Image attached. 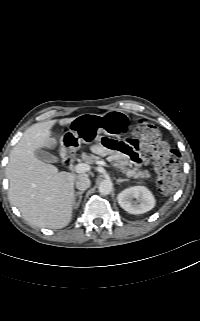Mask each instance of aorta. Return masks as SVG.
I'll return each instance as SVG.
<instances>
[{
	"label": "aorta",
	"mask_w": 200,
	"mask_h": 321,
	"mask_svg": "<svg viewBox=\"0 0 200 321\" xmlns=\"http://www.w3.org/2000/svg\"><path fill=\"white\" fill-rule=\"evenodd\" d=\"M113 189L112 183L108 180H104L99 184L98 190L102 195H108Z\"/></svg>",
	"instance_id": "obj_1"
}]
</instances>
